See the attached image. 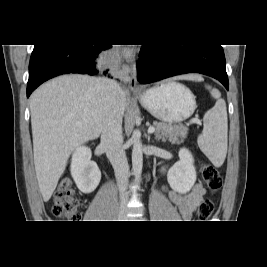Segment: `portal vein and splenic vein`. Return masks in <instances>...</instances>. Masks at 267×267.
<instances>
[{
  "label": "portal vein and splenic vein",
  "mask_w": 267,
  "mask_h": 267,
  "mask_svg": "<svg viewBox=\"0 0 267 267\" xmlns=\"http://www.w3.org/2000/svg\"><path fill=\"white\" fill-rule=\"evenodd\" d=\"M198 121L196 120V119H193V120H191L190 121V123H197ZM153 132H155V128L154 127H149V129H148V133H153Z\"/></svg>",
  "instance_id": "1"
}]
</instances>
